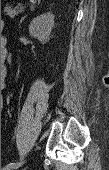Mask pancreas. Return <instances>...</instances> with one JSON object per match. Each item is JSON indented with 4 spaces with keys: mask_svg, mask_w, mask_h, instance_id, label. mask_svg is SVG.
<instances>
[{
    "mask_svg": "<svg viewBox=\"0 0 109 170\" xmlns=\"http://www.w3.org/2000/svg\"><path fill=\"white\" fill-rule=\"evenodd\" d=\"M24 8L22 6H17L15 8L5 7L4 13H6L9 17L13 18L18 15L20 12H23Z\"/></svg>",
    "mask_w": 109,
    "mask_h": 170,
    "instance_id": "1",
    "label": "pancreas"
}]
</instances>
